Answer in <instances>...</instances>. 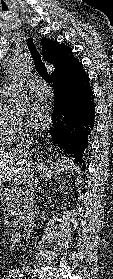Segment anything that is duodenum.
I'll return each instance as SVG.
<instances>
[{"instance_id":"duodenum-1","label":"duodenum","mask_w":113,"mask_h":279,"mask_svg":"<svg viewBox=\"0 0 113 279\" xmlns=\"http://www.w3.org/2000/svg\"><path fill=\"white\" fill-rule=\"evenodd\" d=\"M20 235H21V227L19 226L14 227L10 233V244L13 247L18 246Z\"/></svg>"}]
</instances>
